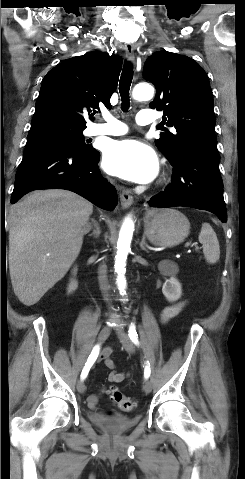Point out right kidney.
<instances>
[{
    "label": "right kidney",
    "instance_id": "1",
    "mask_svg": "<svg viewBox=\"0 0 245 479\" xmlns=\"http://www.w3.org/2000/svg\"><path fill=\"white\" fill-rule=\"evenodd\" d=\"M77 272V268H74L73 274L75 275ZM78 287V282L75 279H71V282L68 285V293H72Z\"/></svg>",
    "mask_w": 245,
    "mask_h": 479
}]
</instances>
